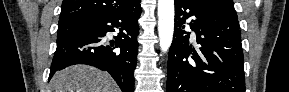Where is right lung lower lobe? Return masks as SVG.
Segmentation results:
<instances>
[{
	"label": "right lung lower lobe",
	"mask_w": 289,
	"mask_h": 92,
	"mask_svg": "<svg viewBox=\"0 0 289 92\" xmlns=\"http://www.w3.org/2000/svg\"><path fill=\"white\" fill-rule=\"evenodd\" d=\"M140 0L111 14L95 18L78 32L57 40L49 79L58 70L87 64L108 71L123 92H134L133 72L137 60ZM119 29L114 40L106 33Z\"/></svg>",
	"instance_id": "obj_1"
}]
</instances>
